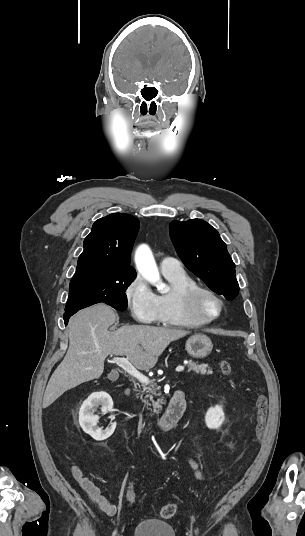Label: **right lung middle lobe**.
<instances>
[{
	"instance_id": "dd1d6c3e",
	"label": "right lung middle lobe",
	"mask_w": 305,
	"mask_h": 536,
	"mask_svg": "<svg viewBox=\"0 0 305 536\" xmlns=\"http://www.w3.org/2000/svg\"><path fill=\"white\" fill-rule=\"evenodd\" d=\"M136 275H82L73 277L65 312L104 302L117 310L127 308L125 291Z\"/></svg>"
}]
</instances>
